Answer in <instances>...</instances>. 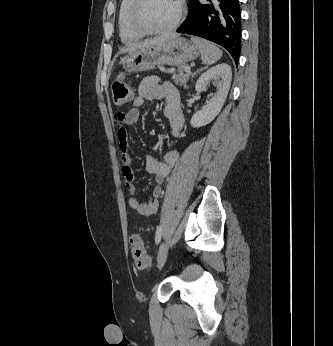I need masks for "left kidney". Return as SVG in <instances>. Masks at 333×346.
<instances>
[{"label":"left kidney","mask_w":333,"mask_h":346,"mask_svg":"<svg viewBox=\"0 0 333 346\" xmlns=\"http://www.w3.org/2000/svg\"><path fill=\"white\" fill-rule=\"evenodd\" d=\"M231 79V67L226 63L208 69L199 77L195 86L197 92L206 91L210 83L217 88V92L200 111L192 116L190 121L192 127L207 125L220 113L228 95Z\"/></svg>","instance_id":"left-kidney-1"}]
</instances>
